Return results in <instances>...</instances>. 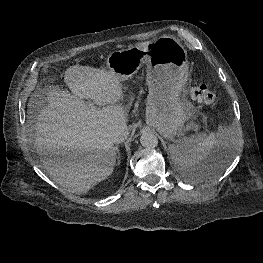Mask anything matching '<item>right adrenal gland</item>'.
I'll return each instance as SVG.
<instances>
[{
  "instance_id": "2a0ac1e0",
  "label": "right adrenal gland",
  "mask_w": 263,
  "mask_h": 263,
  "mask_svg": "<svg viewBox=\"0 0 263 263\" xmlns=\"http://www.w3.org/2000/svg\"><path fill=\"white\" fill-rule=\"evenodd\" d=\"M116 151H117V164H120V151H119V147L116 146Z\"/></svg>"
}]
</instances>
